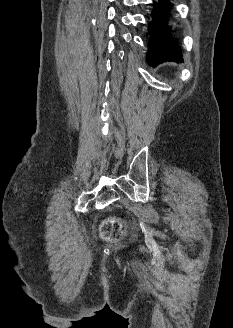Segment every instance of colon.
<instances>
[{
  "label": "colon",
  "instance_id": "obj_1",
  "mask_svg": "<svg viewBox=\"0 0 233 328\" xmlns=\"http://www.w3.org/2000/svg\"><path fill=\"white\" fill-rule=\"evenodd\" d=\"M102 234L106 239H114L123 234V224L115 218L107 219L102 224Z\"/></svg>",
  "mask_w": 233,
  "mask_h": 328
}]
</instances>
